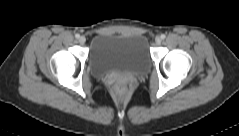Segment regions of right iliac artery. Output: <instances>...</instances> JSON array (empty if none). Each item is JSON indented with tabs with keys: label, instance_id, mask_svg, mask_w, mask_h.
I'll list each match as a JSON object with an SVG mask.
<instances>
[{
	"label": "right iliac artery",
	"instance_id": "right-iliac-artery-1",
	"mask_svg": "<svg viewBox=\"0 0 239 136\" xmlns=\"http://www.w3.org/2000/svg\"><path fill=\"white\" fill-rule=\"evenodd\" d=\"M75 37L78 39L80 37V35L77 33V34H75Z\"/></svg>",
	"mask_w": 239,
	"mask_h": 136
}]
</instances>
